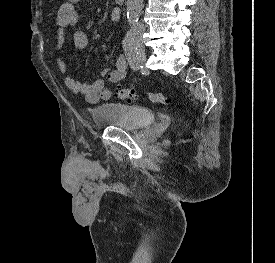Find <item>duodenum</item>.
<instances>
[{"mask_svg":"<svg viewBox=\"0 0 275 263\" xmlns=\"http://www.w3.org/2000/svg\"><path fill=\"white\" fill-rule=\"evenodd\" d=\"M126 0H115L118 5H124Z\"/></svg>","mask_w":275,"mask_h":263,"instance_id":"410a0bca","label":"duodenum"}]
</instances>
